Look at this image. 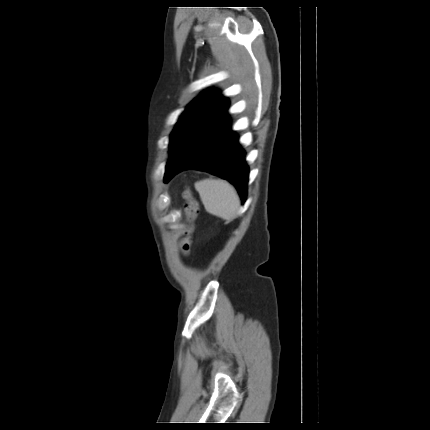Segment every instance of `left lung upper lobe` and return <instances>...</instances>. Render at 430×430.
<instances>
[{
    "label": "left lung upper lobe",
    "instance_id": "left-lung-upper-lobe-1",
    "mask_svg": "<svg viewBox=\"0 0 430 430\" xmlns=\"http://www.w3.org/2000/svg\"><path fill=\"white\" fill-rule=\"evenodd\" d=\"M228 99L221 96L219 91L209 90L201 93L188 106L171 133L169 147L171 154L181 147L191 137L198 124L211 116H219L229 120L227 109Z\"/></svg>",
    "mask_w": 430,
    "mask_h": 430
}]
</instances>
